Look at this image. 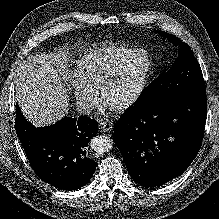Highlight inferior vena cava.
<instances>
[{
	"label": "inferior vena cava",
	"instance_id": "602c4592",
	"mask_svg": "<svg viewBox=\"0 0 219 219\" xmlns=\"http://www.w3.org/2000/svg\"><path fill=\"white\" fill-rule=\"evenodd\" d=\"M76 110L80 114L89 115L93 110V104L88 101L78 100L76 102Z\"/></svg>",
	"mask_w": 219,
	"mask_h": 219
}]
</instances>
